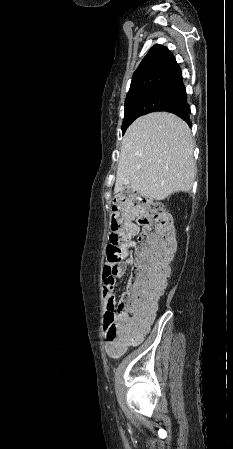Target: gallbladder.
Wrapping results in <instances>:
<instances>
[{
	"label": "gallbladder",
	"mask_w": 233,
	"mask_h": 449,
	"mask_svg": "<svg viewBox=\"0 0 233 449\" xmlns=\"http://www.w3.org/2000/svg\"><path fill=\"white\" fill-rule=\"evenodd\" d=\"M125 193H127L128 195H134V192H132L130 189H128V184H125Z\"/></svg>",
	"instance_id": "bac80fb5"
}]
</instances>
